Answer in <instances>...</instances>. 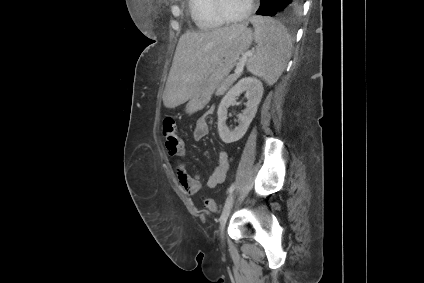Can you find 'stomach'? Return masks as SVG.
Listing matches in <instances>:
<instances>
[{"label":"stomach","instance_id":"stomach-1","mask_svg":"<svg viewBox=\"0 0 424 283\" xmlns=\"http://www.w3.org/2000/svg\"><path fill=\"white\" fill-rule=\"evenodd\" d=\"M253 37L254 33L252 29H245L232 41L199 90L189 99L186 105L187 113L192 114L207 105L220 82L229 75L240 59V56L249 49Z\"/></svg>","mask_w":424,"mask_h":283}]
</instances>
